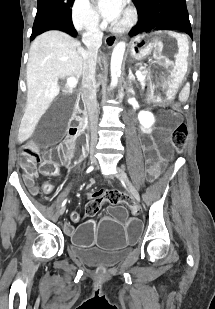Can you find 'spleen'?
<instances>
[{
	"instance_id": "1",
	"label": "spleen",
	"mask_w": 215,
	"mask_h": 309,
	"mask_svg": "<svg viewBox=\"0 0 215 309\" xmlns=\"http://www.w3.org/2000/svg\"><path fill=\"white\" fill-rule=\"evenodd\" d=\"M188 84H186L185 88H187ZM182 96H184V92H181L180 94V100H183Z\"/></svg>"
}]
</instances>
